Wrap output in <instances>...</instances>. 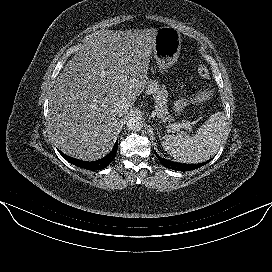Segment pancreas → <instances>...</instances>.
I'll list each match as a JSON object with an SVG mask.
<instances>
[{"instance_id":"pancreas-1","label":"pancreas","mask_w":272,"mask_h":272,"mask_svg":"<svg viewBox=\"0 0 272 272\" xmlns=\"http://www.w3.org/2000/svg\"><path fill=\"white\" fill-rule=\"evenodd\" d=\"M147 90L150 94H153L156 100V115L162 119L163 122L172 121L167 109V90L163 85H160L156 80H149L147 83Z\"/></svg>"}]
</instances>
